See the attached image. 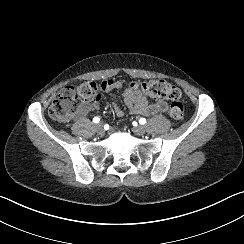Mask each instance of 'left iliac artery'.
<instances>
[{
    "label": "left iliac artery",
    "mask_w": 244,
    "mask_h": 244,
    "mask_svg": "<svg viewBox=\"0 0 244 244\" xmlns=\"http://www.w3.org/2000/svg\"><path fill=\"white\" fill-rule=\"evenodd\" d=\"M139 122H140V124H145V123H146V119H145V118H141V119L139 120Z\"/></svg>",
    "instance_id": "left-iliac-artery-1"
}]
</instances>
